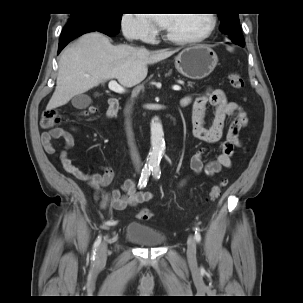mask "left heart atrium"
<instances>
[{
  "label": "left heart atrium",
  "instance_id": "left-heart-atrium-1",
  "mask_svg": "<svg viewBox=\"0 0 303 303\" xmlns=\"http://www.w3.org/2000/svg\"><path fill=\"white\" fill-rule=\"evenodd\" d=\"M172 14H148V17L152 18V20L160 27L167 28Z\"/></svg>",
  "mask_w": 303,
  "mask_h": 303
}]
</instances>
